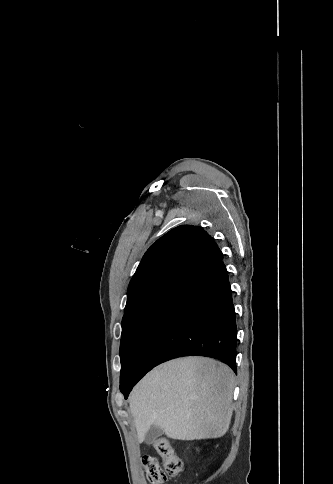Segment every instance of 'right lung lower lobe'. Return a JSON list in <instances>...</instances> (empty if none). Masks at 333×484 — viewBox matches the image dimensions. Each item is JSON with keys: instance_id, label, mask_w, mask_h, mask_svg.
Returning a JSON list of instances; mask_svg holds the SVG:
<instances>
[{"instance_id": "obj_1", "label": "right lung lower lobe", "mask_w": 333, "mask_h": 484, "mask_svg": "<svg viewBox=\"0 0 333 484\" xmlns=\"http://www.w3.org/2000/svg\"><path fill=\"white\" fill-rule=\"evenodd\" d=\"M237 327L228 272L222 259L171 292L158 308L136 349L125 399L154 366L180 356L224 361L236 373Z\"/></svg>"}]
</instances>
